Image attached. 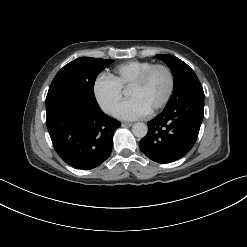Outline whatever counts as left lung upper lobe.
<instances>
[{"mask_svg":"<svg viewBox=\"0 0 247 247\" xmlns=\"http://www.w3.org/2000/svg\"><path fill=\"white\" fill-rule=\"evenodd\" d=\"M157 57L168 65L174 76L173 94L165 108H170L178 102L191 97L204 98L200 81L195 72L185 62L168 54H159Z\"/></svg>","mask_w":247,"mask_h":247,"instance_id":"5c2ea615","label":"left lung upper lobe"}]
</instances>
